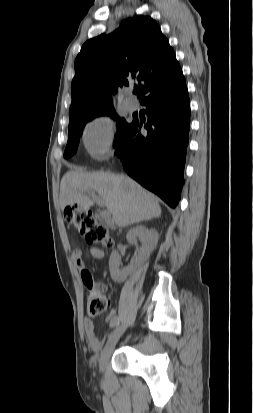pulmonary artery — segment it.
<instances>
[{"instance_id": "1", "label": "pulmonary artery", "mask_w": 253, "mask_h": 413, "mask_svg": "<svg viewBox=\"0 0 253 413\" xmlns=\"http://www.w3.org/2000/svg\"><path fill=\"white\" fill-rule=\"evenodd\" d=\"M124 105L129 111H135L139 107L138 102L136 100H134L133 98H130V97H128L124 100Z\"/></svg>"}]
</instances>
